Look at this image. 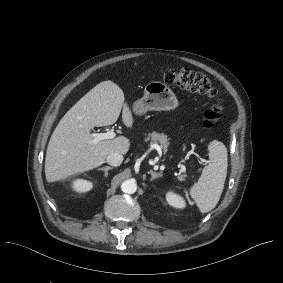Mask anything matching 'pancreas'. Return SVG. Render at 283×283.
<instances>
[{
  "mask_svg": "<svg viewBox=\"0 0 283 283\" xmlns=\"http://www.w3.org/2000/svg\"><path fill=\"white\" fill-rule=\"evenodd\" d=\"M145 142L152 141L154 144H158L160 149H162L164 152L168 151V148L170 147V138L165 133L160 132H151L148 135L144 134Z\"/></svg>",
  "mask_w": 283,
  "mask_h": 283,
  "instance_id": "1",
  "label": "pancreas"
}]
</instances>
